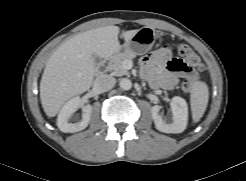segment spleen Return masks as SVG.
<instances>
[{"instance_id": "spleen-1", "label": "spleen", "mask_w": 246, "mask_h": 181, "mask_svg": "<svg viewBox=\"0 0 246 181\" xmlns=\"http://www.w3.org/2000/svg\"><path fill=\"white\" fill-rule=\"evenodd\" d=\"M209 100V88L203 81H197L192 85L190 92V106L192 119L198 122L206 111Z\"/></svg>"}]
</instances>
